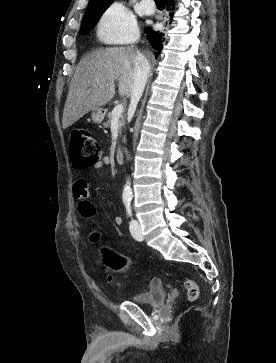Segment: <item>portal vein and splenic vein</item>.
Here are the masks:
<instances>
[{"label":"portal vein and splenic vein","instance_id":"obj_1","mask_svg":"<svg viewBox=\"0 0 276 363\" xmlns=\"http://www.w3.org/2000/svg\"><path fill=\"white\" fill-rule=\"evenodd\" d=\"M123 105L122 104H118L114 107L113 111H112V114H113V120H118L122 113H123Z\"/></svg>","mask_w":276,"mask_h":363}]
</instances>
